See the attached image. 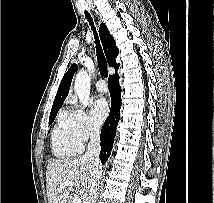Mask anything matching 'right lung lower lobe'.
Segmentation results:
<instances>
[{
	"instance_id": "1",
	"label": "right lung lower lobe",
	"mask_w": 214,
	"mask_h": 203,
	"mask_svg": "<svg viewBox=\"0 0 214 203\" xmlns=\"http://www.w3.org/2000/svg\"><path fill=\"white\" fill-rule=\"evenodd\" d=\"M109 91L111 96V110L108 118L106 119L100 135L101 152L100 160L105 164L111 154L114 137L116 132V124L119 121V112L121 107V87L119 85V76L117 72L115 75L109 77Z\"/></svg>"
}]
</instances>
